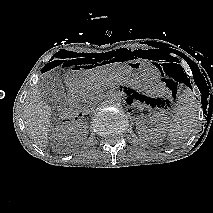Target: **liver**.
I'll list each match as a JSON object with an SVG mask.
<instances>
[{
  "label": "liver",
  "mask_w": 213,
  "mask_h": 213,
  "mask_svg": "<svg viewBox=\"0 0 213 213\" xmlns=\"http://www.w3.org/2000/svg\"><path fill=\"white\" fill-rule=\"evenodd\" d=\"M115 65L99 67L91 71L94 77H102L112 73ZM51 108L42 99L38 86L32 88L27 96L24 108L23 119L28 136L40 148H47L48 135L50 131Z\"/></svg>",
  "instance_id": "obj_1"
}]
</instances>
